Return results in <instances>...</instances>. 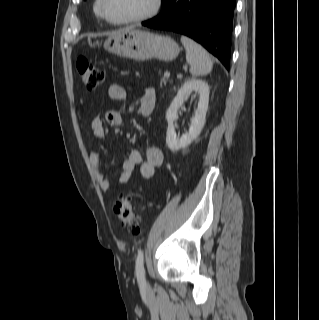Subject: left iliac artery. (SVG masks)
Listing matches in <instances>:
<instances>
[{"label":"left iliac artery","mask_w":319,"mask_h":320,"mask_svg":"<svg viewBox=\"0 0 319 320\" xmlns=\"http://www.w3.org/2000/svg\"><path fill=\"white\" fill-rule=\"evenodd\" d=\"M136 277L140 286L146 285L145 270H144V253L139 250L136 258Z\"/></svg>","instance_id":"obj_1"}]
</instances>
